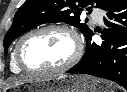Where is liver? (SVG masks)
<instances>
[{"label":"liver","mask_w":127,"mask_h":92,"mask_svg":"<svg viewBox=\"0 0 127 92\" xmlns=\"http://www.w3.org/2000/svg\"><path fill=\"white\" fill-rule=\"evenodd\" d=\"M44 78H49V77H45V76H40V77H31V78H24V79H16L13 80L12 82H10L6 88L11 87V86H16V85H20L23 84L25 82H31V81H35V80H41Z\"/></svg>","instance_id":"1"}]
</instances>
